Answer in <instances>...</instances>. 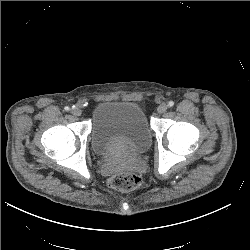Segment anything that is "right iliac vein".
<instances>
[{"label":"right iliac vein","mask_w":250,"mask_h":250,"mask_svg":"<svg viewBox=\"0 0 250 250\" xmlns=\"http://www.w3.org/2000/svg\"><path fill=\"white\" fill-rule=\"evenodd\" d=\"M71 113L74 115V116H81V114H82V110L81 109H79V108H74V109H72L71 110Z\"/></svg>","instance_id":"obj_1"}]
</instances>
